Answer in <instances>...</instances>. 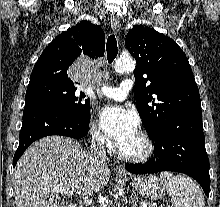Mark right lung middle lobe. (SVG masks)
I'll list each match as a JSON object with an SVG mask.
<instances>
[{
  "mask_svg": "<svg viewBox=\"0 0 220 207\" xmlns=\"http://www.w3.org/2000/svg\"><path fill=\"white\" fill-rule=\"evenodd\" d=\"M74 85L43 81L28 85L25 105L41 103L69 114L86 117L90 115V100Z\"/></svg>",
  "mask_w": 220,
  "mask_h": 207,
  "instance_id": "right-lung-middle-lobe-1",
  "label": "right lung middle lobe"
}]
</instances>
